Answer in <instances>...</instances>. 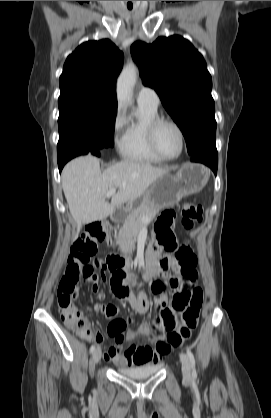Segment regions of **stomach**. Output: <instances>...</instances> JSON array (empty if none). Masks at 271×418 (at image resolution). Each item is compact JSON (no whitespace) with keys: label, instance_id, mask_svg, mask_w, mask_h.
<instances>
[{"label":"stomach","instance_id":"0dacf381","mask_svg":"<svg viewBox=\"0 0 271 418\" xmlns=\"http://www.w3.org/2000/svg\"><path fill=\"white\" fill-rule=\"evenodd\" d=\"M210 178V170L198 163H186L175 174L166 173L155 180L141 199L132 202L130 208L141 203H149L158 209L177 204L183 197L201 191ZM120 215H114L115 221H120Z\"/></svg>","mask_w":271,"mask_h":418}]
</instances>
